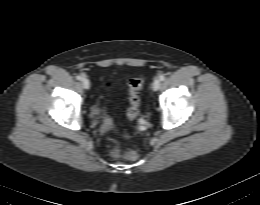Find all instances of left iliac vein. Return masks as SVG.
Listing matches in <instances>:
<instances>
[{"instance_id": "obj_1", "label": "left iliac vein", "mask_w": 260, "mask_h": 205, "mask_svg": "<svg viewBox=\"0 0 260 205\" xmlns=\"http://www.w3.org/2000/svg\"><path fill=\"white\" fill-rule=\"evenodd\" d=\"M160 86H161L160 80L159 79H155L153 84H152V89L154 91H157V90H159Z\"/></svg>"}]
</instances>
